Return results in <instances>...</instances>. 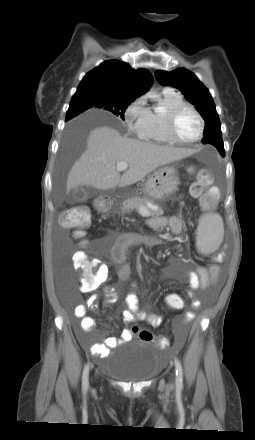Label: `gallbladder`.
Returning <instances> with one entry per match:
<instances>
[{
	"mask_svg": "<svg viewBox=\"0 0 255 440\" xmlns=\"http://www.w3.org/2000/svg\"><path fill=\"white\" fill-rule=\"evenodd\" d=\"M89 194L83 188H76L71 193L72 202H83L87 200Z\"/></svg>",
	"mask_w": 255,
	"mask_h": 440,
	"instance_id": "bac80fb5",
	"label": "gallbladder"
}]
</instances>
